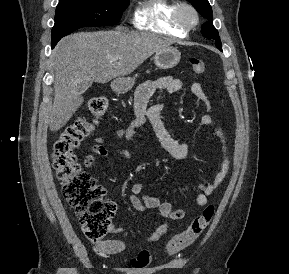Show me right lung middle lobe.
Wrapping results in <instances>:
<instances>
[{
	"label": "right lung middle lobe",
	"mask_w": 289,
	"mask_h": 274,
	"mask_svg": "<svg viewBox=\"0 0 289 274\" xmlns=\"http://www.w3.org/2000/svg\"><path fill=\"white\" fill-rule=\"evenodd\" d=\"M128 5L129 0H60L52 28V47L79 28L117 24Z\"/></svg>",
	"instance_id": "right-lung-middle-lobe-1"
}]
</instances>
